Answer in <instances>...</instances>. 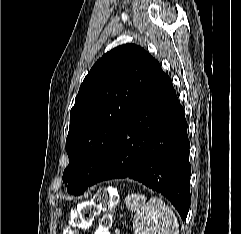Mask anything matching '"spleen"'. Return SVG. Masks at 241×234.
<instances>
[{"mask_svg": "<svg viewBox=\"0 0 241 234\" xmlns=\"http://www.w3.org/2000/svg\"><path fill=\"white\" fill-rule=\"evenodd\" d=\"M126 206L134 211V234H179L178 220L173 211L161 199L142 194L125 198Z\"/></svg>", "mask_w": 241, "mask_h": 234, "instance_id": "1", "label": "spleen"}]
</instances>
